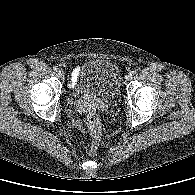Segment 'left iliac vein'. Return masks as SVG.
Returning a JSON list of instances; mask_svg holds the SVG:
<instances>
[{
  "label": "left iliac vein",
  "mask_w": 195,
  "mask_h": 195,
  "mask_svg": "<svg viewBox=\"0 0 195 195\" xmlns=\"http://www.w3.org/2000/svg\"><path fill=\"white\" fill-rule=\"evenodd\" d=\"M125 79L126 81H130L132 79V74L131 73L127 74Z\"/></svg>",
  "instance_id": "obj_1"
}]
</instances>
